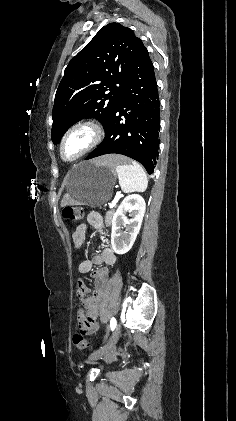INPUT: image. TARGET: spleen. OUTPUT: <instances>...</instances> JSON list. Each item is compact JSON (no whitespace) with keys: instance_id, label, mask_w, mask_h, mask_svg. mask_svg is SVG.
<instances>
[{"instance_id":"3e777b00","label":"spleen","mask_w":236,"mask_h":421,"mask_svg":"<svg viewBox=\"0 0 236 421\" xmlns=\"http://www.w3.org/2000/svg\"><path fill=\"white\" fill-rule=\"evenodd\" d=\"M116 172L123 192H144L146 190L147 174L136 160H131L130 164L118 162Z\"/></svg>"}]
</instances>
